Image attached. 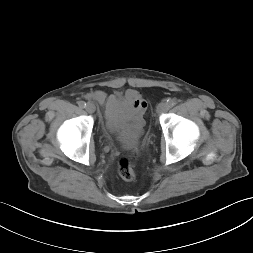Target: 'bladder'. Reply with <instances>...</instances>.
Instances as JSON below:
<instances>
[{
	"instance_id": "1",
	"label": "bladder",
	"mask_w": 253,
	"mask_h": 253,
	"mask_svg": "<svg viewBox=\"0 0 253 253\" xmlns=\"http://www.w3.org/2000/svg\"><path fill=\"white\" fill-rule=\"evenodd\" d=\"M143 125L142 119L135 123L134 126L126 132L125 141L129 144L135 143L142 135Z\"/></svg>"
}]
</instances>
